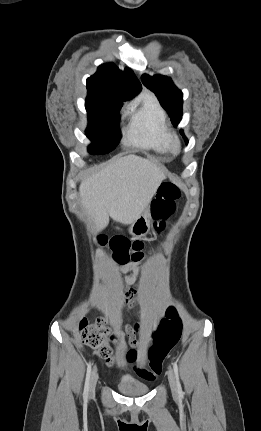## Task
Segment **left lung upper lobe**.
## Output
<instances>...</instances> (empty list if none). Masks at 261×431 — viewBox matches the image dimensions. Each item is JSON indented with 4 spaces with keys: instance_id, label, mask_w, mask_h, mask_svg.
<instances>
[{
    "instance_id": "obj_1",
    "label": "left lung upper lobe",
    "mask_w": 261,
    "mask_h": 431,
    "mask_svg": "<svg viewBox=\"0 0 261 431\" xmlns=\"http://www.w3.org/2000/svg\"><path fill=\"white\" fill-rule=\"evenodd\" d=\"M143 84L158 97L162 107L169 113L173 124L178 125L182 118L183 94L173 84L171 78L163 75H143ZM183 133V131H181ZM186 138V137H184ZM186 142H188L186 140Z\"/></svg>"
}]
</instances>
